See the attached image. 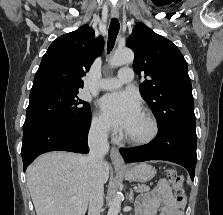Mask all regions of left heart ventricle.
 <instances>
[{
    "label": "left heart ventricle",
    "instance_id": "b2bd125f",
    "mask_svg": "<svg viewBox=\"0 0 223 215\" xmlns=\"http://www.w3.org/2000/svg\"><path fill=\"white\" fill-rule=\"evenodd\" d=\"M149 125L141 112L134 119L132 124L125 130V133L132 136L141 137L148 133Z\"/></svg>",
    "mask_w": 223,
    "mask_h": 215
}]
</instances>
